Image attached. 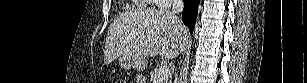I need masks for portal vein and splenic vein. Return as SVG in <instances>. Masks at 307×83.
<instances>
[{
    "mask_svg": "<svg viewBox=\"0 0 307 83\" xmlns=\"http://www.w3.org/2000/svg\"><path fill=\"white\" fill-rule=\"evenodd\" d=\"M169 73H170V70H169L168 66L164 65V66L160 67L153 83L161 82L163 79H165L169 75Z\"/></svg>",
    "mask_w": 307,
    "mask_h": 83,
    "instance_id": "obj_1",
    "label": "portal vein and splenic vein"
}]
</instances>
